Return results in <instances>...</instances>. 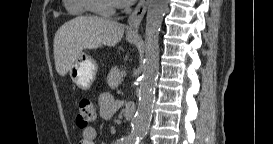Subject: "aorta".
<instances>
[{
	"label": "aorta",
	"instance_id": "aorta-1",
	"mask_svg": "<svg viewBox=\"0 0 273 144\" xmlns=\"http://www.w3.org/2000/svg\"><path fill=\"white\" fill-rule=\"evenodd\" d=\"M169 0H150L145 26L144 69L140 80L139 102L132 120L131 133L124 138L125 144H139L149 129L155 87L159 72V32Z\"/></svg>",
	"mask_w": 273,
	"mask_h": 144
}]
</instances>
